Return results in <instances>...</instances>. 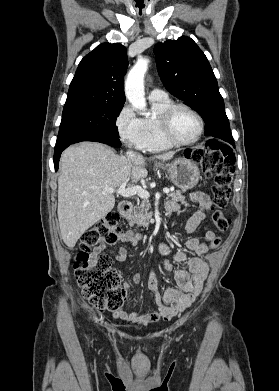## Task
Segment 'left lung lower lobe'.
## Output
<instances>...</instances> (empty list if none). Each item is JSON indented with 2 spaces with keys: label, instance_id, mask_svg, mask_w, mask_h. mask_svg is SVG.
Wrapping results in <instances>:
<instances>
[{
  "label": "left lung lower lobe",
  "instance_id": "0a47b994",
  "mask_svg": "<svg viewBox=\"0 0 279 391\" xmlns=\"http://www.w3.org/2000/svg\"><path fill=\"white\" fill-rule=\"evenodd\" d=\"M225 141L229 142L231 145L234 146L233 138L226 137V138H225ZM185 155H186V156H189L188 152L185 151Z\"/></svg>",
  "mask_w": 279,
  "mask_h": 391
}]
</instances>
